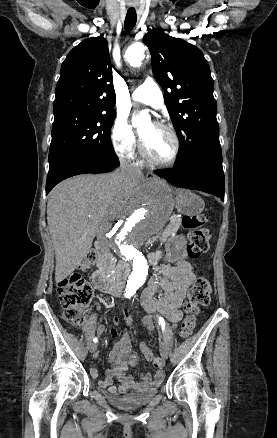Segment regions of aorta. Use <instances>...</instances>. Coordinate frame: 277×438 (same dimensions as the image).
I'll return each mask as SVG.
<instances>
[{
	"label": "aorta",
	"instance_id": "obj_1",
	"mask_svg": "<svg viewBox=\"0 0 277 438\" xmlns=\"http://www.w3.org/2000/svg\"><path fill=\"white\" fill-rule=\"evenodd\" d=\"M145 47L131 45L126 51V59L132 66H140L144 59ZM150 115L141 111L133 124L149 121ZM172 212L170 191L163 182L153 181L139 187L130 196L119 221L109 232L111 247L122 258L132 264V272L126 286L127 294H135L144 284L148 275V263L142 254L147 240L158 233Z\"/></svg>",
	"mask_w": 277,
	"mask_h": 438
}]
</instances>
